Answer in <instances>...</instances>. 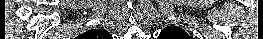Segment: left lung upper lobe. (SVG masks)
Instances as JSON below:
<instances>
[{
	"instance_id": "left-lung-upper-lobe-1",
	"label": "left lung upper lobe",
	"mask_w": 263,
	"mask_h": 39,
	"mask_svg": "<svg viewBox=\"0 0 263 39\" xmlns=\"http://www.w3.org/2000/svg\"><path fill=\"white\" fill-rule=\"evenodd\" d=\"M159 39H193V38L179 27L168 26L161 31L159 35Z\"/></svg>"
}]
</instances>
